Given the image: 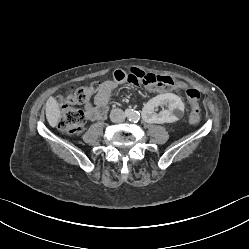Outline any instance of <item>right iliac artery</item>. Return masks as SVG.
Listing matches in <instances>:
<instances>
[{
	"label": "right iliac artery",
	"instance_id": "82829eb1",
	"mask_svg": "<svg viewBox=\"0 0 249 249\" xmlns=\"http://www.w3.org/2000/svg\"><path fill=\"white\" fill-rule=\"evenodd\" d=\"M125 114L127 115V116H129L130 114H131V111L130 110H125Z\"/></svg>",
	"mask_w": 249,
	"mask_h": 249
}]
</instances>
